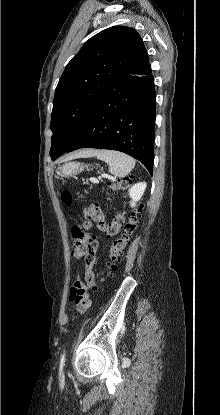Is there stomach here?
Wrapping results in <instances>:
<instances>
[{
  "mask_svg": "<svg viewBox=\"0 0 220 415\" xmlns=\"http://www.w3.org/2000/svg\"><path fill=\"white\" fill-rule=\"evenodd\" d=\"M84 170V166L77 162H69L61 167L62 176L76 175Z\"/></svg>",
  "mask_w": 220,
  "mask_h": 415,
  "instance_id": "stomach-1",
  "label": "stomach"
}]
</instances>
